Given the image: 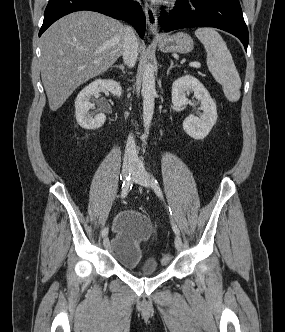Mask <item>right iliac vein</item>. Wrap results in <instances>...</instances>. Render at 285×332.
I'll list each match as a JSON object with an SVG mask.
<instances>
[{
  "mask_svg": "<svg viewBox=\"0 0 285 332\" xmlns=\"http://www.w3.org/2000/svg\"><path fill=\"white\" fill-rule=\"evenodd\" d=\"M133 170H134L133 165H131V164L124 165L122 168L123 178H126L130 173L133 172ZM103 245L105 248H107L109 246V238L107 236H105L103 239Z\"/></svg>",
  "mask_w": 285,
  "mask_h": 332,
  "instance_id": "obj_1",
  "label": "right iliac vein"
}]
</instances>
